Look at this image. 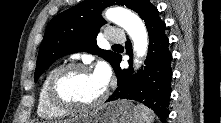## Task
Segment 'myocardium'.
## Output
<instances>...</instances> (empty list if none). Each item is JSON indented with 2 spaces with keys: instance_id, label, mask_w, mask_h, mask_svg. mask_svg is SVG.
Returning a JSON list of instances; mask_svg holds the SVG:
<instances>
[{
  "instance_id": "1",
  "label": "myocardium",
  "mask_w": 221,
  "mask_h": 123,
  "mask_svg": "<svg viewBox=\"0 0 221 123\" xmlns=\"http://www.w3.org/2000/svg\"><path fill=\"white\" fill-rule=\"evenodd\" d=\"M92 71V68L84 63L70 62L57 67L51 74L48 85L47 93L51 103L57 108L72 112V111H89L100 107L108 96V88L104 87L101 96L92 103H78L65 99L59 92L58 84L60 79L71 71Z\"/></svg>"
}]
</instances>
